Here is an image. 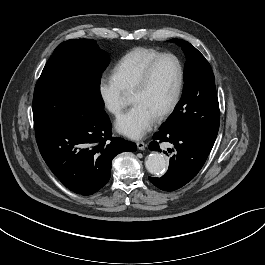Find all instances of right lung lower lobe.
I'll return each mask as SVG.
<instances>
[{"mask_svg":"<svg viewBox=\"0 0 265 265\" xmlns=\"http://www.w3.org/2000/svg\"><path fill=\"white\" fill-rule=\"evenodd\" d=\"M111 127L103 108L84 105L36 132V141L45 162L68 189L91 195L109 181L112 159L137 149L133 142L113 138Z\"/></svg>","mask_w":265,"mask_h":265,"instance_id":"obj_1","label":"right lung lower lobe"}]
</instances>
